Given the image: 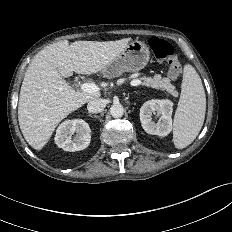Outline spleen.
Here are the masks:
<instances>
[{"label": "spleen", "instance_id": "1", "mask_svg": "<svg viewBox=\"0 0 232 232\" xmlns=\"http://www.w3.org/2000/svg\"><path fill=\"white\" fill-rule=\"evenodd\" d=\"M205 113L206 97L201 78L193 66L186 64L173 122V142L176 148L183 149L194 141L202 128Z\"/></svg>", "mask_w": 232, "mask_h": 232}]
</instances>
